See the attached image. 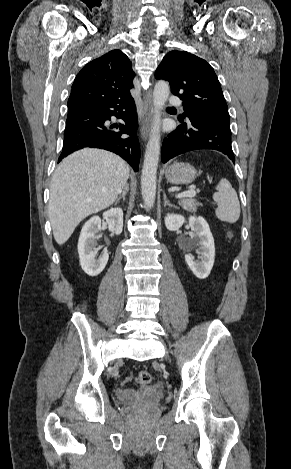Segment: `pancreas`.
I'll return each instance as SVG.
<instances>
[{"label": "pancreas", "instance_id": "1", "mask_svg": "<svg viewBox=\"0 0 291 469\" xmlns=\"http://www.w3.org/2000/svg\"><path fill=\"white\" fill-rule=\"evenodd\" d=\"M179 205L182 206L184 210L193 212L196 211L197 206H200L201 204L193 198H183L180 199Z\"/></svg>", "mask_w": 291, "mask_h": 469}]
</instances>
